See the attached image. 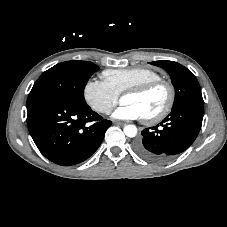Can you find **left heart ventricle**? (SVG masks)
<instances>
[{
	"instance_id": "1",
	"label": "left heart ventricle",
	"mask_w": 227,
	"mask_h": 227,
	"mask_svg": "<svg viewBox=\"0 0 227 227\" xmlns=\"http://www.w3.org/2000/svg\"><path fill=\"white\" fill-rule=\"evenodd\" d=\"M167 96L166 88L160 86L141 96L125 95L122 103L135 105L143 117H148L158 113L164 107Z\"/></svg>"
}]
</instances>
